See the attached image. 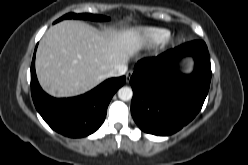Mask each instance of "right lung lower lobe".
I'll return each instance as SVG.
<instances>
[{
  "instance_id": "1",
  "label": "right lung lower lobe",
  "mask_w": 248,
  "mask_h": 165,
  "mask_svg": "<svg viewBox=\"0 0 248 165\" xmlns=\"http://www.w3.org/2000/svg\"><path fill=\"white\" fill-rule=\"evenodd\" d=\"M125 79L111 78L84 95L56 99L47 95L37 81L35 53L31 64V94L37 111L53 130L68 137L88 136L102 125L111 98Z\"/></svg>"
}]
</instances>
